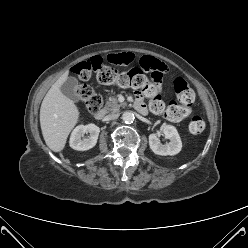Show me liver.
Instances as JSON below:
<instances>
[{
    "instance_id": "obj_1",
    "label": "liver",
    "mask_w": 248,
    "mask_h": 248,
    "mask_svg": "<svg viewBox=\"0 0 248 248\" xmlns=\"http://www.w3.org/2000/svg\"><path fill=\"white\" fill-rule=\"evenodd\" d=\"M62 74L45 95L40 108V126L47 146L54 152L64 149L68 135L77 124L80 112L72 100L60 90L68 79Z\"/></svg>"
}]
</instances>
